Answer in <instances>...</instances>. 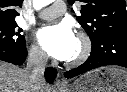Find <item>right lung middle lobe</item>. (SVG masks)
I'll list each match as a JSON object with an SVG mask.
<instances>
[{"label":"right lung middle lobe","mask_w":127,"mask_h":92,"mask_svg":"<svg viewBox=\"0 0 127 92\" xmlns=\"http://www.w3.org/2000/svg\"><path fill=\"white\" fill-rule=\"evenodd\" d=\"M17 27L16 22L0 24V44L24 48L26 46L25 37L20 34L22 29Z\"/></svg>","instance_id":"obj_1"}]
</instances>
